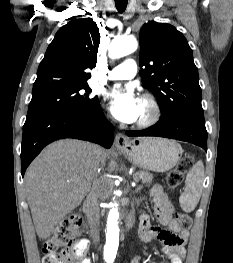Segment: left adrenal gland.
Masks as SVG:
<instances>
[{
	"instance_id": "left-adrenal-gland-1",
	"label": "left adrenal gland",
	"mask_w": 233,
	"mask_h": 263,
	"mask_svg": "<svg viewBox=\"0 0 233 263\" xmlns=\"http://www.w3.org/2000/svg\"><path fill=\"white\" fill-rule=\"evenodd\" d=\"M140 189H141V186L137 187L134 192L138 193L140 191Z\"/></svg>"
}]
</instances>
